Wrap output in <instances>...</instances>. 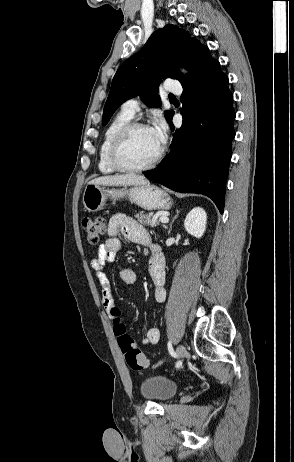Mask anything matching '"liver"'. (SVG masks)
<instances>
[{
    "mask_svg": "<svg viewBox=\"0 0 294 462\" xmlns=\"http://www.w3.org/2000/svg\"><path fill=\"white\" fill-rule=\"evenodd\" d=\"M89 184L95 185H107V186H128V185H148L149 181L141 175L136 174H124V175H113V176H102L95 178L89 182Z\"/></svg>",
    "mask_w": 294,
    "mask_h": 462,
    "instance_id": "6515ba94",
    "label": "liver"
}]
</instances>
